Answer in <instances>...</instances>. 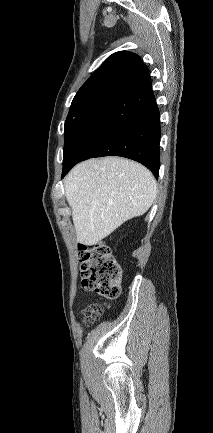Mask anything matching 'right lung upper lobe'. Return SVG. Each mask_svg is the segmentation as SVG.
<instances>
[{"label": "right lung upper lobe", "mask_w": 213, "mask_h": 433, "mask_svg": "<svg viewBox=\"0 0 213 433\" xmlns=\"http://www.w3.org/2000/svg\"><path fill=\"white\" fill-rule=\"evenodd\" d=\"M149 74L141 58L129 51L109 56L82 85L73 101L102 93H118Z\"/></svg>", "instance_id": "obj_1"}]
</instances>
